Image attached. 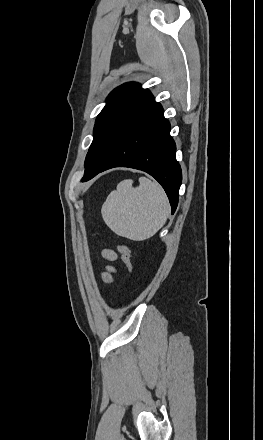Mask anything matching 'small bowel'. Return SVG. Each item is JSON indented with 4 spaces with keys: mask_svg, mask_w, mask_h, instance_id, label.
I'll list each match as a JSON object with an SVG mask.
<instances>
[{
    "mask_svg": "<svg viewBox=\"0 0 263 440\" xmlns=\"http://www.w3.org/2000/svg\"><path fill=\"white\" fill-rule=\"evenodd\" d=\"M102 255L104 258H106L107 260H110V261H113L117 258V254L115 253V251H113L111 249L103 250ZM115 272H116V270L113 267H111V266L108 267L107 271L102 274L104 281L111 282L112 281V274Z\"/></svg>",
    "mask_w": 263,
    "mask_h": 440,
    "instance_id": "1",
    "label": "small bowel"
}]
</instances>
